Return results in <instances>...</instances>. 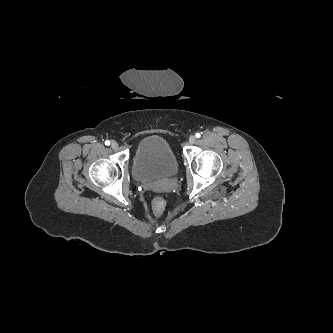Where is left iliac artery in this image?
Instances as JSON below:
<instances>
[{"label": "left iliac artery", "instance_id": "44dca946", "mask_svg": "<svg viewBox=\"0 0 333 333\" xmlns=\"http://www.w3.org/2000/svg\"><path fill=\"white\" fill-rule=\"evenodd\" d=\"M197 138H200L201 134L200 133H196L195 135Z\"/></svg>", "mask_w": 333, "mask_h": 333}]
</instances>
